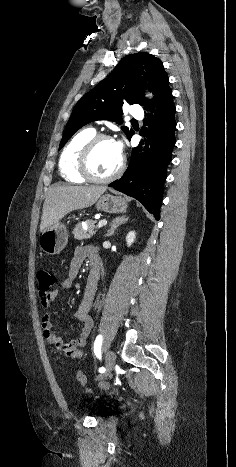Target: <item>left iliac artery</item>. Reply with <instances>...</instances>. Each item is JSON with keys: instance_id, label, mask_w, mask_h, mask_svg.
Segmentation results:
<instances>
[{"instance_id": "obj_1", "label": "left iliac artery", "mask_w": 236, "mask_h": 467, "mask_svg": "<svg viewBox=\"0 0 236 467\" xmlns=\"http://www.w3.org/2000/svg\"><path fill=\"white\" fill-rule=\"evenodd\" d=\"M102 341H103V337L102 335H98L96 337V340L94 342V353L96 355L97 358H101V346H102ZM105 371V368L104 367H101L99 369V372H104Z\"/></svg>"}]
</instances>
